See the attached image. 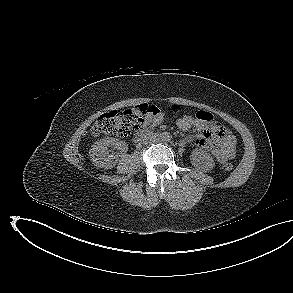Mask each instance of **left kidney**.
Returning <instances> with one entry per match:
<instances>
[{"mask_svg": "<svg viewBox=\"0 0 293 293\" xmlns=\"http://www.w3.org/2000/svg\"><path fill=\"white\" fill-rule=\"evenodd\" d=\"M192 165L203 172H208L215 167L214 160L210 153L204 150H195L191 155Z\"/></svg>", "mask_w": 293, "mask_h": 293, "instance_id": "left-kidney-1", "label": "left kidney"}]
</instances>
